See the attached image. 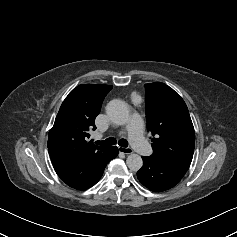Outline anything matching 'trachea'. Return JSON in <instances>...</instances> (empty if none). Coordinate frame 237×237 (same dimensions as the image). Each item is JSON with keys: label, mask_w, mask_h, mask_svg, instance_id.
Instances as JSON below:
<instances>
[{"label": "trachea", "mask_w": 237, "mask_h": 237, "mask_svg": "<svg viewBox=\"0 0 237 237\" xmlns=\"http://www.w3.org/2000/svg\"><path fill=\"white\" fill-rule=\"evenodd\" d=\"M95 143L97 145L111 146V145L116 144V140L114 138L110 137V138H107L104 141H96ZM118 144L122 147H127L128 146V142L125 139H120L118 141Z\"/></svg>", "instance_id": "obj_1"}]
</instances>
